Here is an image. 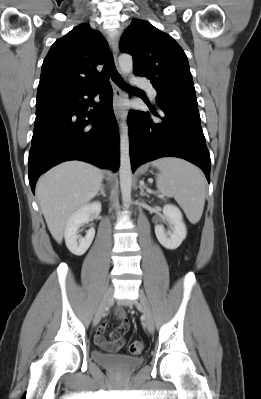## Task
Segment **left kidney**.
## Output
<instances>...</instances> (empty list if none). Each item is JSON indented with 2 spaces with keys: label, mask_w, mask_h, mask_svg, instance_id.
<instances>
[{
  "label": "left kidney",
  "mask_w": 261,
  "mask_h": 399,
  "mask_svg": "<svg viewBox=\"0 0 261 399\" xmlns=\"http://www.w3.org/2000/svg\"><path fill=\"white\" fill-rule=\"evenodd\" d=\"M163 215L171 225V231L165 232L164 226L157 224L155 234L160 244L169 250L177 249L186 238L187 230L180 209L172 204L163 207Z\"/></svg>",
  "instance_id": "5707ae66"
}]
</instances>
